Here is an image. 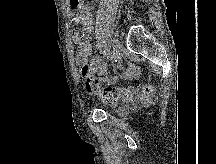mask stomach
Returning a JSON list of instances; mask_svg holds the SVG:
<instances>
[{
	"mask_svg": "<svg viewBox=\"0 0 216 164\" xmlns=\"http://www.w3.org/2000/svg\"><path fill=\"white\" fill-rule=\"evenodd\" d=\"M66 4L68 5V8L71 10L79 9L83 4V0H66Z\"/></svg>",
	"mask_w": 216,
	"mask_h": 164,
	"instance_id": "obj_1",
	"label": "stomach"
}]
</instances>
